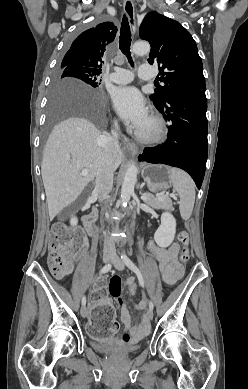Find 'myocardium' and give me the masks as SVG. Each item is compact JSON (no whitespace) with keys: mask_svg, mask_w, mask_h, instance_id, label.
I'll use <instances>...</instances> for the list:
<instances>
[{"mask_svg":"<svg viewBox=\"0 0 248 389\" xmlns=\"http://www.w3.org/2000/svg\"><path fill=\"white\" fill-rule=\"evenodd\" d=\"M148 120L152 125L151 131L143 132L141 130H137L135 133L137 139L143 143L161 142L166 135V126L163 119L158 115H150Z\"/></svg>","mask_w":248,"mask_h":389,"instance_id":"f54148a6","label":"myocardium"}]
</instances>
